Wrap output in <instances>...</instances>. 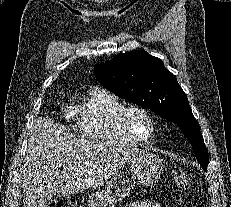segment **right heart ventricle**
Segmentation results:
<instances>
[{
  "mask_svg": "<svg viewBox=\"0 0 231 207\" xmlns=\"http://www.w3.org/2000/svg\"><path fill=\"white\" fill-rule=\"evenodd\" d=\"M125 104L104 88H95L81 103L72 108L77 131L100 142L134 143L123 129L120 113Z\"/></svg>",
  "mask_w": 231,
  "mask_h": 207,
  "instance_id": "e07e8e85",
  "label": "right heart ventricle"
}]
</instances>
